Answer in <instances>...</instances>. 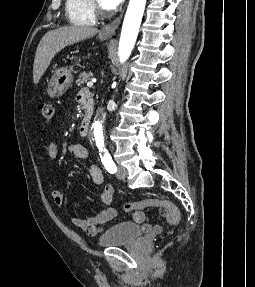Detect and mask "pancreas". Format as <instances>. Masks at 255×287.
Here are the masks:
<instances>
[{
    "label": "pancreas",
    "mask_w": 255,
    "mask_h": 287,
    "mask_svg": "<svg viewBox=\"0 0 255 287\" xmlns=\"http://www.w3.org/2000/svg\"><path fill=\"white\" fill-rule=\"evenodd\" d=\"M92 72L91 70H88V72H82V74H79L78 80H76V84L78 86H83L84 82H88V80H92Z\"/></svg>",
    "instance_id": "1"
}]
</instances>
